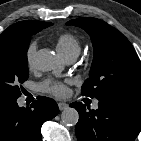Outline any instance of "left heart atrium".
Listing matches in <instances>:
<instances>
[{
    "mask_svg": "<svg viewBox=\"0 0 141 141\" xmlns=\"http://www.w3.org/2000/svg\"><path fill=\"white\" fill-rule=\"evenodd\" d=\"M39 89L45 93H49L56 97H64L67 95V86L63 82L47 79L39 85Z\"/></svg>",
    "mask_w": 141,
    "mask_h": 141,
    "instance_id": "left-heart-atrium-1",
    "label": "left heart atrium"
}]
</instances>
